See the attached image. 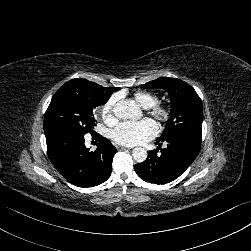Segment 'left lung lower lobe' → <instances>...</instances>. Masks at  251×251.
<instances>
[{"label":"left lung lower lobe","instance_id":"0a47b994","mask_svg":"<svg viewBox=\"0 0 251 251\" xmlns=\"http://www.w3.org/2000/svg\"><path fill=\"white\" fill-rule=\"evenodd\" d=\"M167 147L150 151L147 159L135 165L137 175L146 182L166 184L182 175L195 160L201 146V138L178 134L164 140ZM157 141L155 144L161 145Z\"/></svg>","mask_w":251,"mask_h":251}]
</instances>
